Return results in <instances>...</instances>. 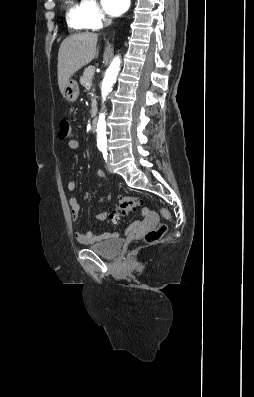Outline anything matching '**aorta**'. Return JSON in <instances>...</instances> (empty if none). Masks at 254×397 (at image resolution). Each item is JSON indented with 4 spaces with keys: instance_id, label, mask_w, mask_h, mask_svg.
Returning <instances> with one entry per match:
<instances>
[{
    "instance_id": "obj_1",
    "label": "aorta",
    "mask_w": 254,
    "mask_h": 397,
    "mask_svg": "<svg viewBox=\"0 0 254 397\" xmlns=\"http://www.w3.org/2000/svg\"><path fill=\"white\" fill-rule=\"evenodd\" d=\"M119 70H120V59L119 57H115L112 63L110 64L109 68L107 69L102 83L103 101H105L106 96L112 90V86L116 81ZM97 145L99 147H105L107 145L106 121H105L104 113H101L99 115V119L97 123Z\"/></svg>"
}]
</instances>
